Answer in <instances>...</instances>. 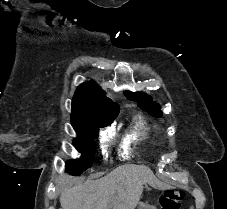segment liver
Masks as SVG:
<instances>
[{
    "label": "liver",
    "instance_id": "1",
    "mask_svg": "<svg viewBox=\"0 0 227 209\" xmlns=\"http://www.w3.org/2000/svg\"><path fill=\"white\" fill-rule=\"evenodd\" d=\"M151 169L141 165H122L112 173L98 179L71 187V177L58 179L62 185L60 205L62 209H135L143 191L142 183L153 181Z\"/></svg>",
    "mask_w": 227,
    "mask_h": 209
}]
</instances>
